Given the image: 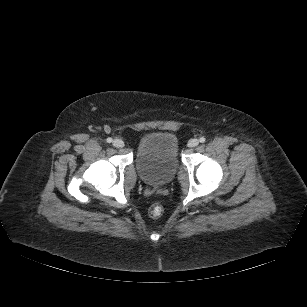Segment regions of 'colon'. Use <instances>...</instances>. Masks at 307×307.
Wrapping results in <instances>:
<instances>
[{
    "label": "colon",
    "mask_w": 307,
    "mask_h": 307,
    "mask_svg": "<svg viewBox=\"0 0 307 307\" xmlns=\"http://www.w3.org/2000/svg\"><path fill=\"white\" fill-rule=\"evenodd\" d=\"M162 213H163V208L159 204H154L149 209V214L153 218L160 217L162 215Z\"/></svg>",
    "instance_id": "1"
}]
</instances>
